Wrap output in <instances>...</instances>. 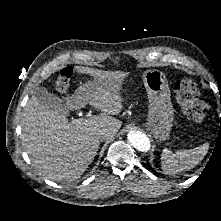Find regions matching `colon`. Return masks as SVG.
Instances as JSON below:
<instances>
[{
	"label": "colon",
	"instance_id": "colon-1",
	"mask_svg": "<svg viewBox=\"0 0 221 221\" xmlns=\"http://www.w3.org/2000/svg\"><path fill=\"white\" fill-rule=\"evenodd\" d=\"M72 75L73 69L70 66L61 71L56 82L59 93H67ZM174 90L184 115L191 121L202 122L210 110V104L199 98L197 83L192 79L184 78L175 84Z\"/></svg>",
	"mask_w": 221,
	"mask_h": 221
}]
</instances>
